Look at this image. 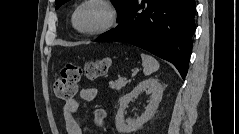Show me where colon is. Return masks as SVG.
<instances>
[{
    "instance_id": "colon-1",
    "label": "colon",
    "mask_w": 239,
    "mask_h": 134,
    "mask_svg": "<svg viewBox=\"0 0 239 134\" xmlns=\"http://www.w3.org/2000/svg\"><path fill=\"white\" fill-rule=\"evenodd\" d=\"M110 66V59L103 58L98 61L86 63L83 67L75 64L65 65L54 80V93L63 100L72 99L78 90L79 82L83 75L90 80L105 76ZM105 112L101 109L95 112V122L102 125Z\"/></svg>"
}]
</instances>
